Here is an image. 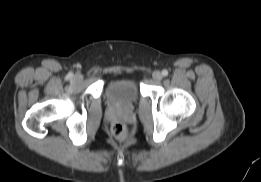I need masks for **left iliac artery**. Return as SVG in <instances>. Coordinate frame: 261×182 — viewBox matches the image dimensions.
<instances>
[{
  "label": "left iliac artery",
  "instance_id": "44dca946",
  "mask_svg": "<svg viewBox=\"0 0 261 182\" xmlns=\"http://www.w3.org/2000/svg\"><path fill=\"white\" fill-rule=\"evenodd\" d=\"M162 75H163V76H167V75H168V71H167V70H163V71H162Z\"/></svg>",
  "mask_w": 261,
  "mask_h": 182
}]
</instances>
